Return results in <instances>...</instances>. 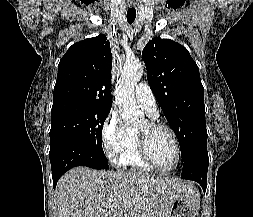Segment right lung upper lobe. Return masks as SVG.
I'll return each instance as SVG.
<instances>
[{"mask_svg":"<svg viewBox=\"0 0 253 217\" xmlns=\"http://www.w3.org/2000/svg\"><path fill=\"white\" fill-rule=\"evenodd\" d=\"M112 54L104 34L73 44L58 65L53 104L81 101L112 106Z\"/></svg>","mask_w":253,"mask_h":217,"instance_id":"obj_1","label":"right lung upper lobe"}]
</instances>
